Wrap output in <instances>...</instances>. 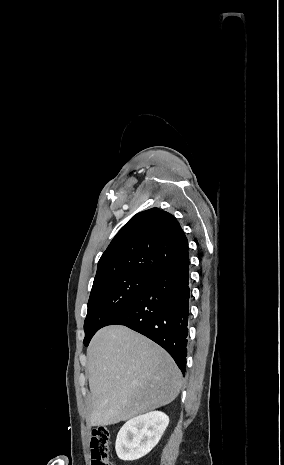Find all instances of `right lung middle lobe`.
I'll use <instances>...</instances> for the list:
<instances>
[{
	"instance_id": "obj_1",
	"label": "right lung middle lobe",
	"mask_w": 284,
	"mask_h": 465,
	"mask_svg": "<svg viewBox=\"0 0 284 465\" xmlns=\"http://www.w3.org/2000/svg\"><path fill=\"white\" fill-rule=\"evenodd\" d=\"M152 279L141 274H124L94 283L84 322V345L88 346L93 335L143 291Z\"/></svg>"
}]
</instances>
